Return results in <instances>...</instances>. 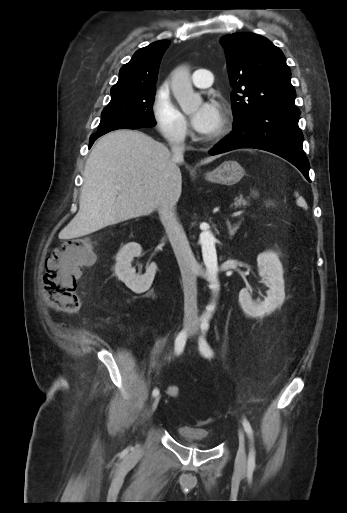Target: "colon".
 Wrapping results in <instances>:
<instances>
[{"mask_svg":"<svg viewBox=\"0 0 347 513\" xmlns=\"http://www.w3.org/2000/svg\"><path fill=\"white\" fill-rule=\"evenodd\" d=\"M93 261L91 243L86 238H73L56 248L48 259L44 274L45 290L55 309L73 313L80 308L77 280L82 274V269ZM168 395L178 398L179 388L169 387Z\"/></svg>","mask_w":347,"mask_h":513,"instance_id":"5ec220e1","label":"colon"}]
</instances>
